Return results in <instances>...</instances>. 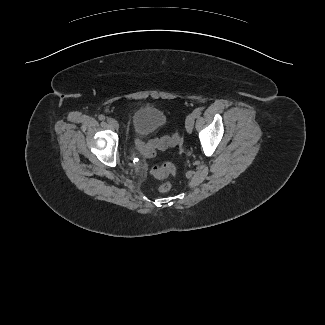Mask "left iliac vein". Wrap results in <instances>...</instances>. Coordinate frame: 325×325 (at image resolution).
<instances>
[{"label":"left iliac vein","instance_id":"4c4485c4","mask_svg":"<svg viewBox=\"0 0 325 325\" xmlns=\"http://www.w3.org/2000/svg\"><path fill=\"white\" fill-rule=\"evenodd\" d=\"M194 122H195V115L194 113H191L187 116L186 118V122H185V125H186V130L187 132L190 134L193 130V127H194Z\"/></svg>","mask_w":325,"mask_h":325}]
</instances>
